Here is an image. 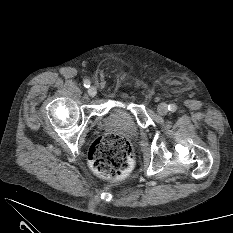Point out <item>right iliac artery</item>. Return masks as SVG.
<instances>
[{
	"label": "right iliac artery",
	"mask_w": 233,
	"mask_h": 233,
	"mask_svg": "<svg viewBox=\"0 0 233 233\" xmlns=\"http://www.w3.org/2000/svg\"><path fill=\"white\" fill-rule=\"evenodd\" d=\"M83 84L86 88H89L91 85V82L89 80H85Z\"/></svg>",
	"instance_id": "1"
}]
</instances>
